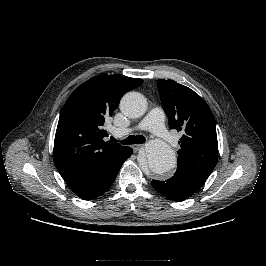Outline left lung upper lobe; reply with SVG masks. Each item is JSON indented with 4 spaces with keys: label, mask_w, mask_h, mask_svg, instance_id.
Wrapping results in <instances>:
<instances>
[{
    "label": "left lung upper lobe",
    "mask_w": 266,
    "mask_h": 266,
    "mask_svg": "<svg viewBox=\"0 0 266 266\" xmlns=\"http://www.w3.org/2000/svg\"><path fill=\"white\" fill-rule=\"evenodd\" d=\"M157 86L169 126L183 132L177 169L206 181L218 159L215 120L209 106L184 85L160 79Z\"/></svg>",
    "instance_id": "5c2ea615"
}]
</instances>
